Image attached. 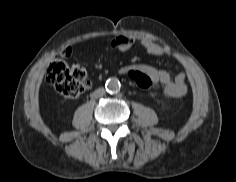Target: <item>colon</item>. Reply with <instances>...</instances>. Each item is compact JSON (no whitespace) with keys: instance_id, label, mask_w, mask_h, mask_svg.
I'll use <instances>...</instances> for the list:
<instances>
[{"instance_id":"obj_1","label":"colon","mask_w":236,"mask_h":182,"mask_svg":"<svg viewBox=\"0 0 236 182\" xmlns=\"http://www.w3.org/2000/svg\"><path fill=\"white\" fill-rule=\"evenodd\" d=\"M129 80L140 89H148L153 82L144 71L131 68L127 70ZM46 80L62 97L73 99L85 89L86 71L80 66L70 67L62 60L52 61L46 70Z\"/></svg>"}]
</instances>
